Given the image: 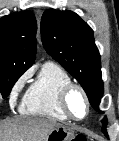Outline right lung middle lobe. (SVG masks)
<instances>
[{
	"instance_id": "obj_1",
	"label": "right lung middle lobe",
	"mask_w": 119,
	"mask_h": 141,
	"mask_svg": "<svg viewBox=\"0 0 119 141\" xmlns=\"http://www.w3.org/2000/svg\"><path fill=\"white\" fill-rule=\"evenodd\" d=\"M24 72L0 71V96L6 98L12 87Z\"/></svg>"
}]
</instances>
